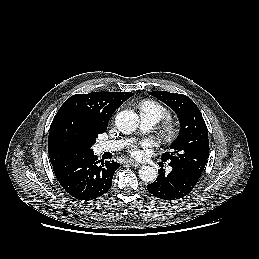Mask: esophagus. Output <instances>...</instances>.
Segmentation results:
<instances>
[{
    "instance_id": "obj_1",
    "label": "esophagus",
    "mask_w": 259,
    "mask_h": 259,
    "mask_svg": "<svg viewBox=\"0 0 259 259\" xmlns=\"http://www.w3.org/2000/svg\"><path fill=\"white\" fill-rule=\"evenodd\" d=\"M127 162L132 166V167H135V168H139L141 166L140 163H137L133 160H127Z\"/></svg>"
}]
</instances>
